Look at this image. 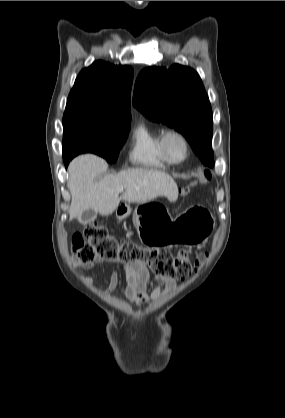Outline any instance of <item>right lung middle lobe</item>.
I'll use <instances>...</instances> for the list:
<instances>
[{"instance_id":"dd1d6c3e","label":"right lung middle lobe","mask_w":285,"mask_h":418,"mask_svg":"<svg viewBox=\"0 0 285 418\" xmlns=\"http://www.w3.org/2000/svg\"><path fill=\"white\" fill-rule=\"evenodd\" d=\"M63 127L64 160L72 159L82 153H94L105 158L109 163H114L125 142L130 124L64 113Z\"/></svg>"}]
</instances>
